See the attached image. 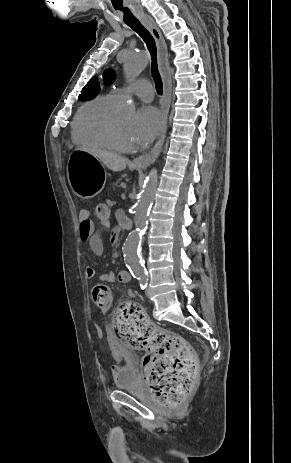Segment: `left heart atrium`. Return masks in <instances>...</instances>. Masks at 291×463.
Instances as JSON below:
<instances>
[{
	"mask_svg": "<svg viewBox=\"0 0 291 463\" xmlns=\"http://www.w3.org/2000/svg\"><path fill=\"white\" fill-rule=\"evenodd\" d=\"M163 119L153 106H144L138 112L130 135L136 145L143 146L152 141L162 130Z\"/></svg>",
	"mask_w": 291,
	"mask_h": 463,
	"instance_id": "obj_1",
	"label": "left heart atrium"
}]
</instances>
